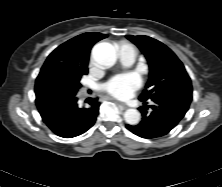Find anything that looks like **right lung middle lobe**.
Segmentation results:
<instances>
[{
    "mask_svg": "<svg viewBox=\"0 0 222 187\" xmlns=\"http://www.w3.org/2000/svg\"><path fill=\"white\" fill-rule=\"evenodd\" d=\"M43 69L44 68L42 67L41 70ZM58 69L67 77V79L75 90H79V88L81 87V77L88 73L87 67L77 66L72 63L64 64L60 62L58 64Z\"/></svg>",
    "mask_w": 222,
    "mask_h": 187,
    "instance_id": "dd1d6c3e",
    "label": "right lung middle lobe"
}]
</instances>
